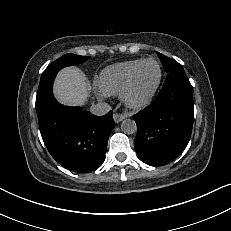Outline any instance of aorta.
<instances>
[{"instance_id": "obj_1", "label": "aorta", "mask_w": 231, "mask_h": 231, "mask_svg": "<svg viewBox=\"0 0 231 231\" xmlns=\"http://www.w3.org/2000/svg\"><path fill=\"white\" fill-rule=\"evenodd\" d=\"M121 130L125 134H134L137 131L136 122L133 119H125L121 123Z\"/></svg>"}]
</instances>
